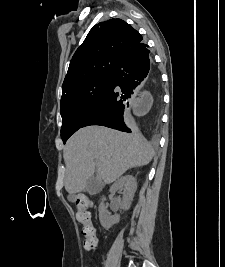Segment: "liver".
Masks as SVG:
<instances>
[{
    "instance_id": "liver-1",
    "label": "liver",
    "mask_w": 225,
    "mask_h": 267,
    "mask_svg": "<svg viewBox=\"0 0 225 267\" xmlns=\"http://www.w3.org/2000/svg\"><path fill=\"white\" fill-rule=\"evenodd\" d=\"M153 155L152 146L139 133L126 134L102 126L81 128L64 147L65 189L69 194L84 191L95 168L97 179L109 184L128 169L147 165Z\"/></svg>"
}]
</instances>
